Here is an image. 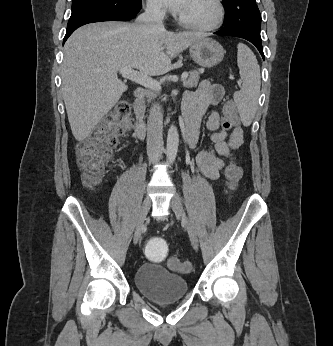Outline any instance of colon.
I'll return each mask as SVG.
<instances>
[{"mask_svg":"<svg viewBox=\"0 0 333 346\" xmlns=\"http://www.w3.org/2000/svg\"><path fill=\"white\" fill-rule=\"evenodd\" d=\"M131 105L128 101H120L105 117L91 135L76 147L77 163L82 172V178L87 186L97 185L103 177L113 150L117 146L118 137L129 127ZM223 122L227 129L238 123V114L232 101H228L223 110ZM242 177L241 167L230 160L225 168V178L230 189H236ZM148 244L143 249L147 260L152 264H163L167 260V267L176 272L188 273L191 264L182 262L178 258L168 259V247L162 235H148Z\"/></svg>","mask_w":333,"mask_h":346,"instance_id":"5ec220e1","label":"colon"}]
</instances>
